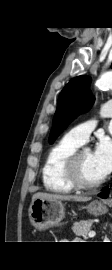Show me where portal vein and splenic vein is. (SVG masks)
<instances>
[{
  "instance_id": "18ae733b",
  "label": "portal vein and splenic vein",
  "mask_w": 112,
  "mask_h": 270,
  "mask_svg": "<svg viewBox=\"0 0 112 270\" xmlns=\"http://www.w3.org/2000/svg\"><path fill=\"white\" fill-rule=\"evenodd\" d=\"M95 235H96L95 231H90L89 234H88V236H89L90 238L95 237Z\"/></svg>"
}]
</instances>
